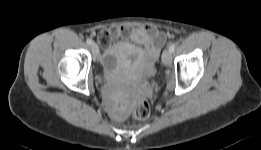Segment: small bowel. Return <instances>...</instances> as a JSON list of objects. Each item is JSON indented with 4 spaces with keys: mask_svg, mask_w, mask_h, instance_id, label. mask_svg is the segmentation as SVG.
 <instances>
[{
    "mask_svg": "<svg viewBox=\"0 0 261 150\" xmlns=\"http://www.w3.org/2000/svg\"><path fill=\"white\" fill-rule=\"evenodd\" d=\"M123 28L112 27L103 29L98 36V40L103 47H108L112 38L118 37L122 34ZM129 38L140 45L143 49L136 48L131 44L124 45V49H128L137 58L145 60L148 64L154 65L157 61L162 45L166 40L163 32L157 30L153 26H140L129 32Z\"/></svg>",
    "mask_w": 261,
    "mask_h": 150,
    "instance_id": "c3829d8e",
    "label": "small bowel"
}]
</instances>
